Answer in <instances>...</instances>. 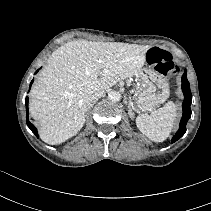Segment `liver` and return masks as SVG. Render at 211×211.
Segmentation results:
<instances>
[{
    "instance_id": "6515ba94",
    "label": "liver",
    "mask_w": 211,
    "mask_h": 211,
    "mask_svg": "<svg viewBox=\"0 0 211 211\" xmlns=\"http://www.w3.org/2000/svg\"><path fill=\"white\" fill-rule=\"evenodd\" d=\"M150 46L74 40L55 50L30 92L40 138L61 144L84 126L96 90L138 75Z\"/></svg>"
}]
</instances>
